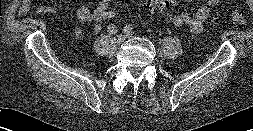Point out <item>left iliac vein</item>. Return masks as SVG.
<instances>
[{"label":"left iliac vein","mask_w":253,"mask_h":131,"mask_svg":"<svg viewBox=\"0 0 253 131\" xmlns=\"http://www.w3.org/2000/svg\"><path fill=\"white\" fill-rule=\"evenodd\" d=\"M132 36V33L126 34V37L130 38Z\"/></svg>","instance_id":"left-iliac-vein-1"}]
</instances>
